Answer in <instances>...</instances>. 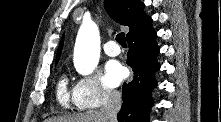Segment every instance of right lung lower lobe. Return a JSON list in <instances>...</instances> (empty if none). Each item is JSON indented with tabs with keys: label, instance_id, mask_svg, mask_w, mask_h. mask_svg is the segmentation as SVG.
Returning a JSON list of instances; mask_svg holds the SVG:
<instances>
[{
	"label": "right lung lower lobe",
	"instance_id": "obj_1",
	"mask_svg": "<svg viewBox=\"0 0 221 122\" xmlns=\"http://www.w3.org/2000/svg\"><path fill=\"white\" fill-rule=\"evenodd\" d=\"M151 24L139 34L127 39V63L134 78L122 88L123 104L117 115L119 122H148V110L153 104L151 91L156 86L154 74L160 66L156 60L159 47Z\"/></svg>",
	"mask_w": 221,
	"mask_h": 122
}]
</instances>
